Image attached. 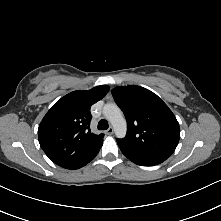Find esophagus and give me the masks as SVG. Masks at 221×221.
<instances>
[{"label": "esophagus", "instance_id": "1", "mask_svg": "<svg viewBox=\"0 0 221 221\" xmlns=\"http://www.w3.org/2000/svg\"><path fill=\"white\" fill-rule=\"evenodd\" d=\"M113 133H114V129L112 127L106 130L107 135H112Z\"/></svg>", "mask_w": 221, "mask_h": 221}]
</instances>
